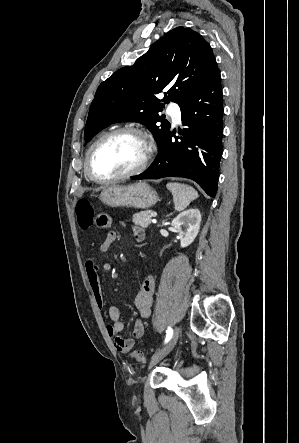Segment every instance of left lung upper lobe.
<instances>
[{"label": "left lung upper lobe", "instance_id": "obj_1", "mask_svg": "<svg viewBox=\"0 0 299 443\" xmlns=\"http://www.w3.org/2000/svg\"><path fill=\"white\" fill-rule=\"evenodd\" d=\"M215 62L200 34L181 26L172 29L134 65L119 69L99 85L86 122L85 142L110 124L132 121L146 125L159 145L170 123L158 112L169 101L180 105ZM162 90L164 98L159 100L155 94Z\"/></svg>", "mask_w": 299, "mask_h": 443}]
</instances>
